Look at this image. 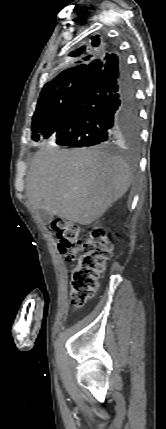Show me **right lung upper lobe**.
<instances>
[{"label":"right lung upper lobe","mask_w":166,"mask_h":429,"mask_svg":"<svg viewBox=\"0 0 166 429\" xmlns=\"http://www.w3.org/2000/svg\"><path fill=\"white\" fill-rule=\"evenodd\" d=\"M106 44L102 40L101 42L97 37L93 38L91 45H83L78 49L72 51L66 58V63L71 67L63 70L53 80L46 83L41 92H44L52 85L58 83L61 80L67 79L75 75H84L88 65L95 59L100 58L104 55L109 54L106 52Z\"/></svg>","instance_id":"obj_1"}]
</instances>
